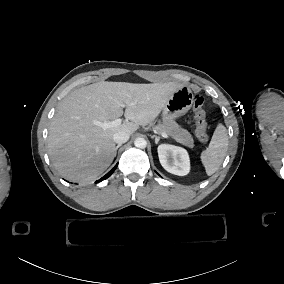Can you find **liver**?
Masks as SVG:
<instances>
[{"label":"liver","instance_id":"6515ba94","mask_svg":"<svg viewBox=\"0 0 284 284\" xmlns=\"http://www.w3.org/2000/svg\"><path fill=\"white\" fill-rule=\"evenodd\" d=\"M182 86L178 82L102 81L71 92L60 103L49 128L48 153L53 166L73 182L97 178L113 161L114 134L131 135L139 126L152 123ZM123 114L126 121L117 127L103 130L93 124V120L108 122Z\"/></svg>","mask_w":284,"mask_h":284}]
</instances>
